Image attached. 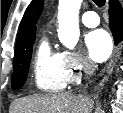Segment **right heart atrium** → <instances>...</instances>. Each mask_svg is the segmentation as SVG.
Here are the masks:
<instances>
[{"instance_id": "d8ad5b80", "label": "right heart atrium", "mask_w": 123, "mask_h": 113, "mask_svg": "<svg viewBox=\"0 0 123 113\" xmlns=\"http://www.w3.org/2000/svg\"><path fill=\"white\" fill-rule=\"evenodd\" d=\"M62 68L67 84H74L80 81L82 75L91 68L89 62L80 54L63 51Z\"/></svg>"}]
</instances>
